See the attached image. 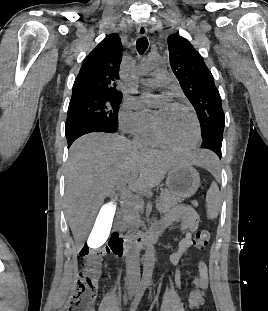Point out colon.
I'll return each mask as SVG.
<instances>
[{
	"mask_svg": "<svg viewBox=\"0 0 268 311\" xmlns=\"http://www.w3.org/2000/svg\"><path fill=\"white\" fill-rule=\"evenodd\" d=\"M210 232L200 230L196 233L194 245L203 250L209 243ZM107 247L91 249L85 245L80 251L82 258V269L76 281L72 297L67 305L66 311H93L99 279L102 273L103 258L110 253Z\"/></svg>",
	"mask_w": 268,
	"mask_h": 311,
	"instance_id": "1",
	"label": "colon"
}]
</instances>
